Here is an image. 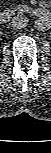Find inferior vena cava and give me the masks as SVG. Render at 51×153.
<instances>
[{
  "label": "inferior vena cava",
  "mask_w": 51,
  "mask_h": 153,
  "mask_svg": "<svg viewBox=\"0 0 51 153\" xmlns=\"http://www.w3.org/2000/svg\"><path fill=\"white\" fill-rule=\"evenodd\" d=\"M28 24V18L23 15H17L13 17L11 25L16 29H21L26 27Z\"/></svg>",
  "instance_id": "602c4592"
}]
</instances>
